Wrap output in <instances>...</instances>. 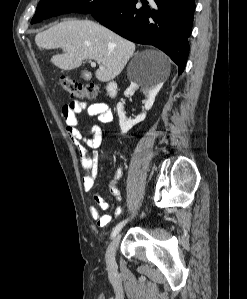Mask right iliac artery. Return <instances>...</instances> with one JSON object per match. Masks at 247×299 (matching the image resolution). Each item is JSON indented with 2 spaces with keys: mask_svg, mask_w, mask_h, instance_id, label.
I'll list each match as a JSON object with an SVG mask.
<instances>
[{
  "mask_svg": "<svg viewBox=\"0 0 247 299\" xmlns=\"http://www.w3.org/2000/svg\"><path fill=\"white\" fill-rule=\"evenodd\" d=\"M128 219L127 220H124L122 222H120L118 225H116L111 233V238L115 237L119 231L122 229V227L127 223Z\"/></svg>",
  "mask_w": 247,
  "mask_h": 299,
  "instance_id": "1",
  "label": "right iliac artery"
}]
</instances>
